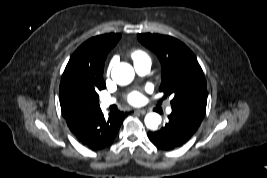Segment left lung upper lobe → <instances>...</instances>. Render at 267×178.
<instances>
[{"label":"left lung upper lobe","mask_w":267,"mask_h":178,"mask_svg":"<svg viewBox=\"0 0 267 178\" xmlns=\"http://www.w3.org/2000/svg\"><path fill=\"white\" fill-rule=\"evenodd\" d=\"M138 40L161 62L163 99L171 97L172 111L201 124L207 105L204 73L193 52L178 39L159 34H138Z\"/></svg>","instance_id":"left-lung-upper-lobe-1"}]
</instances>
